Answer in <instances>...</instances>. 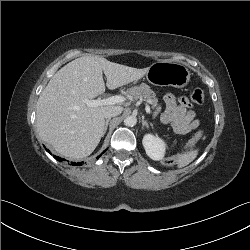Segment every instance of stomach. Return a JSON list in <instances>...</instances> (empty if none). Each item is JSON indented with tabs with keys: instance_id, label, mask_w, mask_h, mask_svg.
Returning a JSON list of instances; mask_svg holds the SVG:
<instances>
[{
	"instance_id": "0dacf381",
	"label": "stomach",
	"mask_w": 250,
	"mask_h": 250,
	"mask_svg": "<svg viewBox=\"0 0 250 250\" xmlns=\"http://www.w3.org/2000/svg\"><path fill=\"white\" fill-rule=\"evenodd\" d=\"M146 77L154 85L183 88L190 81V72L183 64L161 61L149 67Z\"/></svg>"
}]
</instances>
